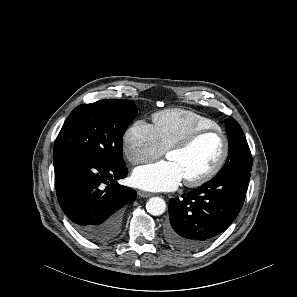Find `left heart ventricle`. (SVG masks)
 <instances>
[{
  "label": "left heart ventricle",
  "mask_w": 297,
  "mask_h": 297,
  "mask_svg": "<svg viewBox=\"0 0 297 297\" xmlns=\"http://www.w3.org/2000/svg\"><path fill=\"white\" fill-rule=\"evenodd\" d=\"M222 151L221 138L216 134H208L199 138L187 149L168 153L167 158L179 164L186 180L209 171L220 158Z\"/></svg>",
  "instance_id": "left-heart-ventricle-1"
}]
</instances>
